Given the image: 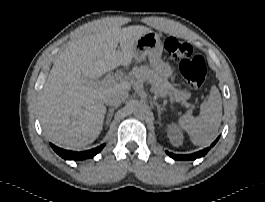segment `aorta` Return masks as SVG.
Returning <instances> with one entry per match:
<instances>
[{"mask_svg":"<svg viewBox=\"0 0 265 202\" xmlns=\"http://www.w3.org/2000/svg\"><path fill=\"white\" fill-rule=\"evenodd\" d=\"M134 113L139 118H144L149 113V108L145 103H138L134 107Z\"/></svg>","mask_w":265,"mask_h":202,"instance_id":"obj_1","label":"aorta"}]
</instances>
